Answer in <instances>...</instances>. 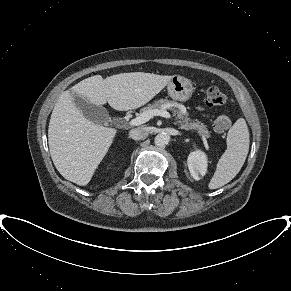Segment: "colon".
<instances>
[{
  "label": "colon",
  "mask_w": 291,
  "mask_h": 291,
  "mask_svg": "<svg viewBox=\"0 0 291 291\" xmlns=\"http://www.w3.org/2000/svg\"><path fill=\"white\" fill-rule=\"evenodd\" d=\"M206 102L209 106H222L227 102V97L216 87H210L206 92ZM230 126V119L221 115L214 121V130L218 133L225 132Z\"/></svg>",
  "instance_id": "obj_1"
}]
</instances>
